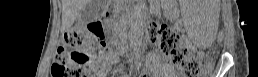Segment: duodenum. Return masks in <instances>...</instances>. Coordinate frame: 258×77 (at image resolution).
<instances>
[{
  "label": "duodenum",
  "mask_w": 258,
  "mask_h": 77,
  "mask_svg": "<svg viewBox=\"0 0 258 77\" xmlns=\"http://www.w3.org/2000/svg\"><path fill=\"white\" fill-rule=\"evenodd\" d=\"M100 26H101L100 23H91V24H90V29H91V31H95V30L98 29ZM115 45H116V46H117V45L123 46V45H124L123 39L120 38L118 41H116Z\"/></svg>",
  "instance_id": "410a0bca"
}]
</instances>
